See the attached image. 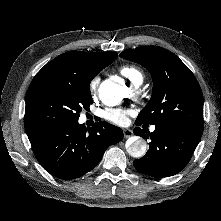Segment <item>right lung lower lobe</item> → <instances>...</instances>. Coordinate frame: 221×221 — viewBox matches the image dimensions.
Returning <instances> with one entry per match:
<instances>
[{
	"instance_id": "right-lung-lower-lobe-1",
	"label": "right lung lower lobe",
	"mask_w": 221,
	"mask_h": 221,
	"mask_svg": "<svg viewBox=\"0 0 221 221\" xmlns=\"http://www.w3.org/2000/svg\"><path fill=\"white\" fill-rule=\"evenodd\" d=\"M25 131L40 165L64 180L91 171L106 149L123 138L121 128L104 121L87 129L78 121L25 124Z\"/></svg>"
}]
</instances>
